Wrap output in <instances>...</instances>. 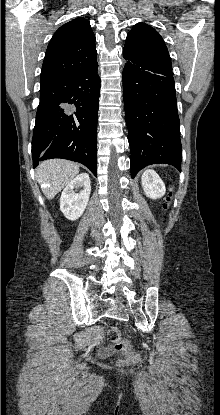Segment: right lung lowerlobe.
<instances>
[{"instance_id":"98d812e1","label":"right lung lower lobe","mask_w":220,"mask_h":415,"mask_svg":"<svg viewBox=\"0 0 220 415\" xmlns=\"http://www.w3.org/2000/svg\"><path fill=\"white\" fill-rule=\"evenodd\" d=\"M97 67L40 88L32 139L34 168L41 160L63 158L84 164L97 176Z\"/></svg>"}]
</instances>
